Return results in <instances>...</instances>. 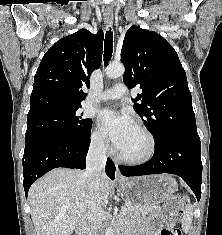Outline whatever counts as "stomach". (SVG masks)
Here are the masks:
<instances>
[{
    "label": "stomach",
    "instance_id": "0dacf381",
    "mask_svg": "<svg viewBox=\"0 0 222 235\" xmlns=\"http://www.w3.org/2000/svg\"><path fill=\"white\" fill-rule=\"evenodd\" d=\"M177 188L174 179L164 176H144L120 183L125 201L139 209L153 207L166 200Z\"/></svg>",
    "mask_w": 222,
    "mask_h": 235
}]
</instances>
